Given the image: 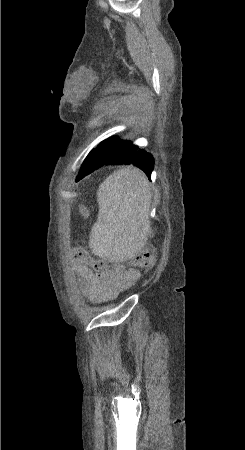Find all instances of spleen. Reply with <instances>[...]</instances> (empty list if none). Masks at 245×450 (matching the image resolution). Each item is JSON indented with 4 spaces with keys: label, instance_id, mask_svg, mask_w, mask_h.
<instances>
[{
    "label": "spleen",
    "instance_id": "3e777b00",
    "mask_svg": "<svg viewBox=\"0 0 245 450\" xmlns=\"http://www.w3.org/2000/svg\"><path fill=\"white\" fill-rule=\"evenodd\" d=\"M99 213L90 234L92 252L108 261H124L145 245L151 231V191L145 174L126 167L99 186Z\"/></svg>",
    "mask_w": 245,
    "mask_h": 450
}]
</instances>
